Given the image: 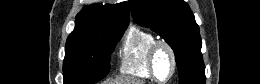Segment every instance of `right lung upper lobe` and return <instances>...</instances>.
Masks as SVG:
<instances>
[{
    "label": "right lung upper lobe",
    "instance_id": "1",
    "mask_svg": "<svg viewBox=\"0 0 260 84\" xmlns=\"http://www.w3.org/2000/svg\"><path fill=\"white\" fill-rule=\"evenodd\" d=\"M129 10L126 2L113 5L84 6L76 16V27L67 43L87 41L107 28H127Z\"/></svg>",
    "mask_w": 260,
    "mask_h": 84
}]
</instances>
